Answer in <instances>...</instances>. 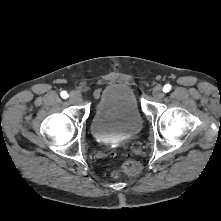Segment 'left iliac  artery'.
<instances>
[{
	"label": "left iliac artery",
	"mask_w": 221,
	"mask_h": 221,
	"mask_svg": "<svg viewBox=\"0 0 221 221\" xmlns=\"http://www.w3.org/2000/svg\"><path fill=\"white\" fill-rule=\"evenodd\" d=\"M171 90V85L167 84L163 87V92H169Z\"/></svg>",
	"instance_id": "obj_1"
}]
</instances>
